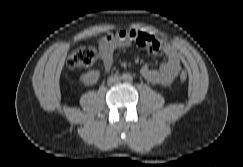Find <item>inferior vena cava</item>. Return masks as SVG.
<instances>
[{
    "mask_svg": "<svg viewBox=\"0 0 243 167\" xmlns=\"http://www.w3.org/2000/svg\"><path fill=\"white\" fill-rule=\"evenodd\" d=\"M120 80H121V77L114 75V76H111L108 78V84H116V83L120 82Z\"/></svg>",
    "mask_w": 243,
    "mask_h": 167,
    "instance_id": "602c4592",
    "label": "inferior vena cava"
}]
</instances>
